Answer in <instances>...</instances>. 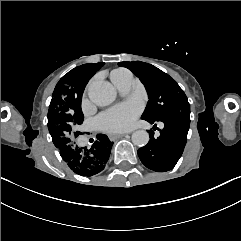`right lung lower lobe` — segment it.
Instances as JSON below:
<instances>
[{"label":"right lung lower lobe","instance_id":"1","mask_svg":"<svg viewBox=\"0 0 241 241\" xmlns=\"http://www.w3.org/2000/svg\"><path fill=\"white\" fill-rule=\"evenodd\" d=\"M112 145L113 142L106 135L98 134L97 140L90 148L66 145L58 149L71 170L78 175L90 177L105 168Z\"/></svg>","mask_w":241,"mask_h":241}]
</instances>
